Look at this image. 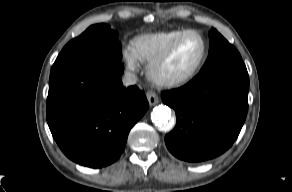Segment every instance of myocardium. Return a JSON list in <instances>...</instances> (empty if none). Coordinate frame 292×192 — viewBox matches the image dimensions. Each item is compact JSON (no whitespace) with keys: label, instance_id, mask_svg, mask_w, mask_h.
I'll return each instance as SVG.
<instances>
[{"label":"myocardium","instance_id":"1","mask_svg":"<svg viewBox=\"0 0 292 192\" xmlns=\"http://www.w3.org/2000/svg\"><path fill=\"white\" fill-rule=\"evenodd\" d=\"M197 35L203 45L202 55L197 64L186 74L170 77L163 73L167 61L174 54L179 44L189 35ZM209 56V45L204 35L197 30H186L179 35L154 61L148 66V76L152 82L161 87H179L192 81L203 69Z\"/></svg>","mask_w":292,"mask_h":192}]
</instances>
